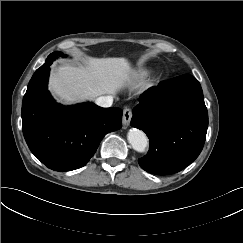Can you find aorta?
<instances>
[{
	"mask_svg": "<svg viewBox=\"0 0 243 243\" xmlns=\"http://www.w3.org/2000/svg\"><path fill=\"white\" fill-rule=\"evenodd\" d=\"M128 141L137 152H144L148 146L146 134L139 129H131L127 135Z\"/></svg>",
	"mask_w": 243,
	"mask_h": 243,
	"instance_id": "aorta-1",
	"label": "aorta"
}]
</instances>
